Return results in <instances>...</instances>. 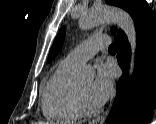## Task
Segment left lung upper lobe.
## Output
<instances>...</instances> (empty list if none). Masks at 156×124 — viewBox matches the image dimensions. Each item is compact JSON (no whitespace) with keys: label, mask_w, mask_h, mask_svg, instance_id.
Here are the masks:
<instances>
[{"label":"left lung upper lobe","mask_w":156,"mask_h":124,"mask_svg":"<svg viewBox=\"0 0 156 124\" xmlns=\"http://www.w3.org/2000/svg\"><path fill=\"white\" fill-rule=\"evenodd\" d=\"M105 1L109 5L117 6V7H120L122 9L126 10L133 18L135 13L137 12V10L139 9V7L141 6V4L144 0H105ZM111 31H112V33H115L116 28L113 27L111 29ZM120 32H121V30H118L117 34ZM64 37H65V31H64V27H63L50 49V53H49V57H48L49 61L51 59H53L58 54L59 50L62 47Z\"/></svg>","instance_id":"5c2ea615"}]
</instances>
